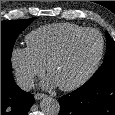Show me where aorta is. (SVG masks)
Instances as JSON below:
<instances>
[{"instance_id":"aorta-1","label":"aorta","mask_w":115,"mask_h":115,"mask_svg":"<svg viewBox=\"0 0 115 115\" xmlns=\"http://www.w3.org/2000/svg\"><path fill=\"white\" fill-rule=\"evenodd\" d=\"M40 108L44 115H58L60 111L59 102L49 96H46L41 100Z\"/></svg>"}]
</instances>
